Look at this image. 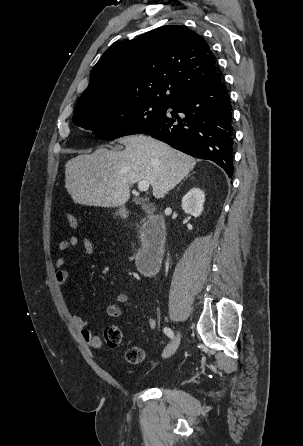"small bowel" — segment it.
<instances>
[{"mask_svg":"<svg viewBox=\"0 0 303 446\" xmlns=\"http://www.w3.org/2000/svg\"><path fill=\"white\" fill-rule=\"evenodd\" d=\"M79 242V238L75 235H71L66 239L61 240L58 243V249L61 251H69L73 249ZM83 246L84 255L89 257L94 252L93 243L87 239L83 238L81 240ZM66 260L64 258L57 259L55 263V277L56 281L61 286H66L69 280V273L65 269ZM129 296L126 293H118L113 297L114 303L110 304L107 309V315L113 319H119L123 315V310L119 304H124L128 301ZM72 323L76 330L81 333L83 341L90 347L100 349L102 347L101 338L93 333L90 329H88V323L79 315L73 314L71 316ZM148 325L150 328H154L156 326V320L154 318H150L148 320Z\"/></svg>","mask_w":303,"mask_h":446,"instance_id":"obj_1","label":"small bowel"}]
</instances>
